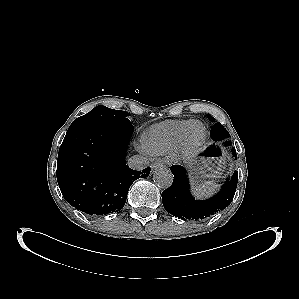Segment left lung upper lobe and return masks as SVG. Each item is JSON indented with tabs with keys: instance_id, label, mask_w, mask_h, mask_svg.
<instances>
[{
	"instance_id": "5c2ea615",
	"label": "left lung upper lobe",
	"mask_w": 299,
	"mask_h": 299,
	"mask_svg": "<svg viewBox=\"0 0 299 299\" xmlns=\"http://www.w3.org/2000/svg\"><path fill=\"white\" fill-rule=\"evenodd\" d=\"M208 118L211 121H214V118L211 115H208ZM210 136L213 140L219 141L229 137L226 128H224L220 123H215L214 126L211 128Z\"/></svg>"
}]
</instances>
